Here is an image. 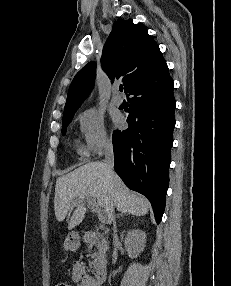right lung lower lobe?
Wrapping results in <instances>:
<instances>
[{
	"mask_svg": "<svg viewBox=\"0 0 231 286\" xmlns=\"http://www.w3.org/2000/svg\"><path fill=\"white\" fill-rule=\"evenodd\" d=\"M174 84L168 72L131 84L129 128L113 132L115 171L132 190L151 202L161 221L169 186V165L175 126Z\"/></svg>",
	"mask_w": 231,
	"mask_h": 286,
	"instance_id": "98d812e1",
	"label": "right lung lower lobe"
}]
</instances>
